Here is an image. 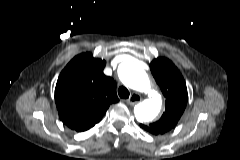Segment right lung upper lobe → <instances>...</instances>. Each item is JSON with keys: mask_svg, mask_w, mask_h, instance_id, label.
<instances>
[{"mask_svg": "<svg viewBox=\"0 0 240 160\" xmlns=\"http://www.w3.org/2000/svg\"><path fill=\"white\" fill-rule=\"evenodd\" d=\"M105 64L91 53H82L61 72L55 101L60 119L69 128L78 132L90 129L118 102L115 81L103 73Z\"/></svg>", "mask_w": 240, "mask_h": 160, "instance_id": "right-lung-upper-lobe-1", "label": "right lung upper lobe"}]
</instances>
